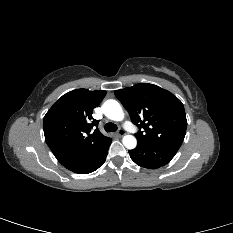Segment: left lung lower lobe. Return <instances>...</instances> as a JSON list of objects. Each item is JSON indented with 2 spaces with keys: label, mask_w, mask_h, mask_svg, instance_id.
<instances>
[{
  "label": "left lung lower lobe",
  "mask_w": 233,
  "mask_h": 233,
  "mask_svg": "<svg viewBox=\"0 0 233 233\" xmlns=\"http://www.w3.org/2000/svg\"><path fill=\"white\" fill-rule=\"evenodd\" d=\"M180 147L176 145H151L138 142L137 147L129 151L131 159L139 166L156 169L166 165Z\"/></svg>",
  "instance_id": "obj_1"
}]
</instances>
